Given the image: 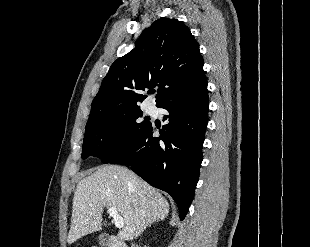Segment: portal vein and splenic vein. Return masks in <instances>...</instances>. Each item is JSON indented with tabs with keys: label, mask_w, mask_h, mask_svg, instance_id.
Wrapping results in <instances>:
<instances>
[{
	"label": "portal vein and splenic vein",
	"mask_w": 310,
	"mask_h": 247,
	"mask_svg": "<svg viewBox=\"0 0 310 247\" xmlns=\"http://www.w3.org/2000/svg\"><path fill=\"white\" fill-rule=\"evenodd\" d=\"M109 216L112 217L115 226L119 229L123 228L124 222L123 218L118 214V211L115 207L108 208Z\"/></svg>",
	"instance_id": "obj_1"
}]
</instances>
